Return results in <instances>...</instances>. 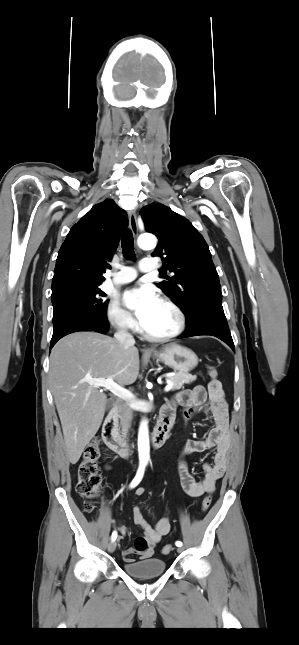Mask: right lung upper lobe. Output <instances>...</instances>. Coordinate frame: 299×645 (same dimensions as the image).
I'll return each instance as SVG.
<instances>
[{
  "label": "right lung upper lobe",
  "instance_id": "cb5924a9",
  "mask_svg": "<svg viewBox=\"0 0 299 645\" xmlns=\"http://www.w3.org/2000/svg\"><path fill=\"white\" fill-rule=\"evenodd\" d=\"M127 215L113 200L96 204L76 223L62 244L52 280V294L72 287H98L119 242Z\"/></svg>",
  "mask_w": 299,
  "mask_h": 645
}]
</instances>
